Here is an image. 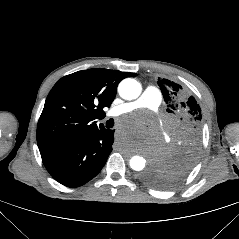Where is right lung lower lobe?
Returning a JSON list of instances; mask_svg holds the SVG:
<instances>
[{
	"label": "right lung lower lobe",
	"mask_w": 239,
	"mask_h": 239,
	"mask_svg": "<svg viewBox=\"0 0 239 239\" xmlns=\"http://www.w3.org/2000/svg\"><path fill=\"white\" fill-rule=\"evenodd\" d=\"M114 130L104 127L71 144L41 154L50 175L62 185L79 187L94 178L112 151Z\"/></svg>",
	"instance_id": "obj_1"
}]
</instances>
